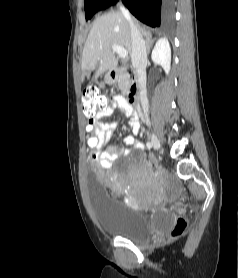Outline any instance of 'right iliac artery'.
Returning <instances> with one entry per match:
<instances>
[{"label":"right iliac artery","mask_w":238,"mask_h":278,"mask_svg":"<svg viewBox=\"0 0 238 278\" xmlns=\"http://www.w3.org/2000/svg\"><path fill=\"white\" fill-rule=\"evenodd\" d=\"M146 146H147L148 149H151V148H152V144H151L150 142H147V143H146Z\"/></svg>","instance_id":"obj_1"}]
</instances>
